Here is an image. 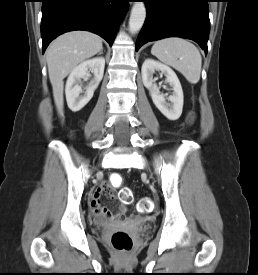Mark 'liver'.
Wrapping results in <instances>:
<instances>
[{
  "label": "liver",
  "mask_w": 258,
  "mask_h": 275,
  "mask_svg": "<svg viewBox=\"0 0 258 275\" xmlns=\"http://www.w3.org/2000/svg\"><path fill=\"white\" fill-rule=\"evenodd\" d=\"M102 49V39L87 31L65 33L55 39L46 51L49 79L58 114L63 117V79L80 63Z\"/></svg>",
  "instance_id": "1"
}]
</instances>
